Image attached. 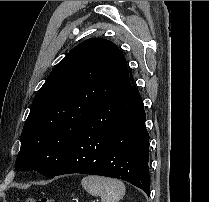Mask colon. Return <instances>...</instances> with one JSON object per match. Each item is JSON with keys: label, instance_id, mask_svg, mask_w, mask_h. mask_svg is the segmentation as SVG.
<instances>
[{"label": "colon", "instance_id": "obj_1", "mask_svg": "<svg viewBox=\"0 0 209 202\" xmlns=\"http://www.w3.org/2000/svg\"><path fill=\"white\" fill-rule=\"evenodd\" d=\"M26 202H56L50 197H40V198H33L30 197L26 200Z\"/></svg>", "mask_w": 209, "mask_h": 202}]
</instances>
